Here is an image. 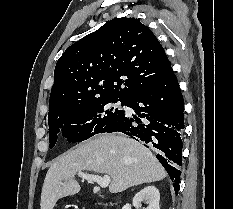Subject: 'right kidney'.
Returning a JSON list of instances; mask_svg holds the SVG:
<instances>
[{
  "instance_id": "right-kidney-1",
  "label": "right kidney",
  "mask_w": 233,
  "mask_h": 209,
  "mask_svg": "<svg viewBox=\"0 0 233 209\" xmlns=\"http://www.w3.org/2000/svg\"><path fill=\"white\" fill-rule=\"evenodd\" d=\"M159 200V190L155 186L151 185L146 186L134 196L132 205L136 209H139L141 207V202L145 201L148 204V209H160ZM122 209H131V204L124 205Z\"/></svg>"
}]
</instances>
